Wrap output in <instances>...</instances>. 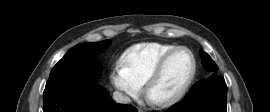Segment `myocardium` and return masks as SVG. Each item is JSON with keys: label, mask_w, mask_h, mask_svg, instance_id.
Listing matches in <instances>:
<instances>
[{"label": "myocardium", "mask_w": 270, "mask_h": 112, "mask_svg": "<svg viewBox=\"0 0 270 112\" xmlns=\"http://www.w3.org/2000/svg\"><path fill=\"white\" fill-rule=\"evenodd\" d=\"M180 51H186L189 53L191 59H192V70L191 73L185 82V84L181 87V89L173 94L172 96L161 100V101H154V103L160 107H169L177 102H179L189 91L190 87L192 86L196 75H197V60L194 55V53L185 46H177L168 53H166L161 60L158 62L152 73L149 75L148 79L145 82V94L148 98H150V90L152 86L155 84V82L160 78V76L163 74L168 62L170 59L178 52ZM151 99V98H150Z\"/></svg>", "instance_id": "myocardium-1"}]
</instances>
